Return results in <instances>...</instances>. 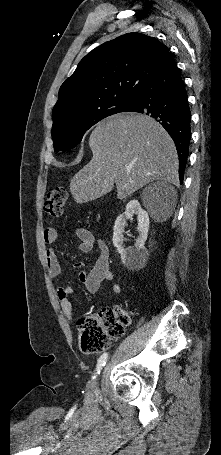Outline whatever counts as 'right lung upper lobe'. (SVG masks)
Instances as JSON below:
<instances>
[{"label":"right lung upper lobe","instance_id":"obj_1","mask_svg":"<svg viewBox=\"0 0 221 455\" xmlns=\"http://www.w3.org/2000/svg\"><path fill=\"white\" fill-rule=\"evenodd\" d=\"M169 54L164 44L141 33H127L98 46L60 87L53 121L103 101H132Z\"/></svg>","mask_w":221,"mask_h":455}]
</instances>
